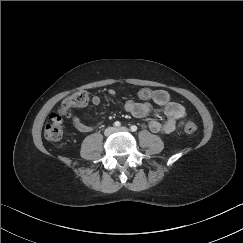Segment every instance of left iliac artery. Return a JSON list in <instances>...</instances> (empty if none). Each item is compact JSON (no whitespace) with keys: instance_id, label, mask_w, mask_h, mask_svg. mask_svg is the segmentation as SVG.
Instances as JSON below:
<instances>
[{"instance_id":"left-iliac-artery-1","label":"left iliac artery","mask_w":243,"mask_h":243,"mask_svg":"<svg viewBox=\"0 0 243 243\" xmlns=\"http://www.w3.org/2000/svg\"><path fill=\"white\" fill-rule=\"evenodd\" d=\"M130 129H131L132 132H135V131H137V126L132 125V126L130 127Z\"/></svg>"}]
</instances>
